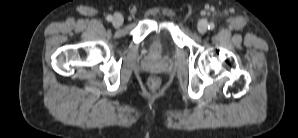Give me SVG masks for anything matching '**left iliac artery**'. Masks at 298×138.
<instances>
[{
	"mask_svg": "<svg viewBox=\"0 0 298 138\" xmlns=\"http://www.w3.org/2000/svg\"><path fill=\"white\" fill-rule=\"evenodd\" d=\"M215 28V24L214 23H209L208 24V29L209 30H213Z\"/></svg>",
	"mask_w": 298,
	"mask_h": 138,
	"instance_id": "44dca946",
	"label": "left iliac artery"
}]
</instances>
